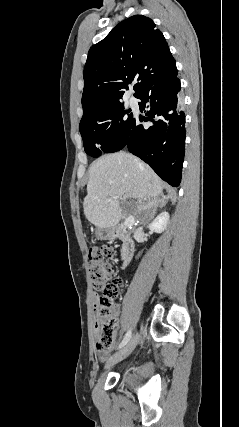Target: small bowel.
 <instances>
[{
	"label": "small bowel",
	"instance_id": "obj_1",
	"mask_svg": "<svg viewBox=\"0 0 239 427\" xmlns=\"http://www.w3.org/2000/svg\"><path fill=\"white\" fill-rule=\"evenodd\" d=\"M93 300L95 301V302H97V300H98V296L97 295H94L93 296ZM115 313H116V315H118V313H119V311H118V309H116L115 310ZM95 331L97 332V327L95 326ZM109 353H110V350H108V351H106V352H99L98 351V355H99V360L100 361H103L108 355H109Z\"/></svg>",
	"mask_w": 239,
	"mask_h": 427
}]
</instances>
